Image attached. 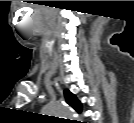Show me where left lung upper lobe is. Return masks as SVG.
Returning a JSON list of instances; mask_svg holds the SVG:
<instances>
[{"label": "left lung upper lobe", "instance_id": "left-lung-upper-lobe-1", "mask_svg": "<svg viewBox=\"0 0 134 123\" xmlns=\"http://www.w3.org/2000/svg\"><path fill=\"white\" fill-rule=\"evenodd\" d=\"M67 103L72 106L78 113L82 112V105L76 96L71 93L68 89L64 91Z\"/></svg>", "mask_w": 134, "mask_h": 123}]
</instances>
